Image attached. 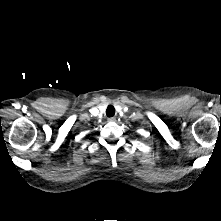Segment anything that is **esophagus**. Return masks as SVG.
<instances>
[{
	"instance_id": "esophagus-1",
	"label": "esophagus",
	"mask_w": 221,
	"mask_h": 221,
	"mask_svg": "<svg viewBox=\"0 0 221 221\" xmlns=\"http://www.w3.org/2000/svg\"><path fill=\"white\" fill-rule=\"evenodd\" d=\"M108 121L114 122V121H116V119H115V117H111V118L108 119Z\"/></svg>"
}]
</instances>
